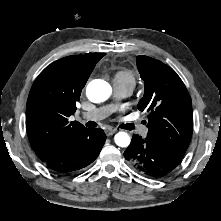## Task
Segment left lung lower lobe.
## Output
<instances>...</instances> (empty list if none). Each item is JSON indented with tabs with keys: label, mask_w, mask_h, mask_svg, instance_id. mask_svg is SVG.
<instances>
[{
	"label": "left lung lower lobe",
	"mask_w": 221,
	"mask_h": 221,
	"mask_svg": "<svg viewBox=\"0 0 221 221\" xmlns=\"http://www.w3.org/2000/svg\"><path fill=\"white\" fill-rule=\"evenodd\" d=\"M125 159L143 175L161 177L175 169L182 157L166 148L154 139L134 134L124 152Z\"/></svg>",
	"instance_id": "1"
}]
</instances>
